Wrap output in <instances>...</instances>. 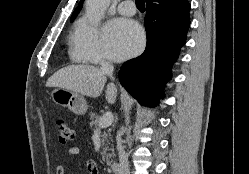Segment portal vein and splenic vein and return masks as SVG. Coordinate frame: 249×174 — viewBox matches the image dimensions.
Here are the masks:
<instances>
[{
    "mask_svg": "<svg viewBox=\"0 0 249 174\" xmlns=\"http://www.w3.org/2000/svg\"><path fill=\"white\" fill-rule=\"evenodd\" d=\"M114 120V116L112 114V112L107 111L106 113H104V115L102 116V118L99 121V128H106L109 127Z\"/></svg>",
    "mask_w": 249,
    "mask_h": 174,
    "instance_id": "obj_1",
    "label": "portal vein and splenic vein"
}]
</instances>
